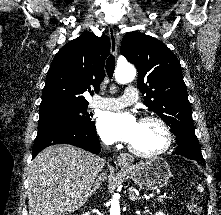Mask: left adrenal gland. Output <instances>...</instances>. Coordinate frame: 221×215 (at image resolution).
<instances>
[{
    "label": "left adrenal gland",
    "mask_w": 221,
    "mask_h": 215,
    "mask_svg": "<svg viewBox=\"0 0 221 215\" xmlns=\"http://www.w3.org/2000/svg\"><path fill=\"white\" fill-rule=\"evenodd\" d=\"M129 199L133 201V200H139V199H141V197L136 196L134 194L133 188H130L129 189Z\"/></svg>",
    "instance_id": "left-adrenal-gland-1"
}]
</instances>
